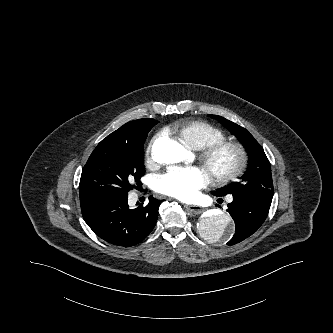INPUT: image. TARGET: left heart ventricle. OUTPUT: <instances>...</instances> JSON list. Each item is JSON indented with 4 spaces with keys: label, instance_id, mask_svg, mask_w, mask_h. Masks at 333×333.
<instances>
[{
    "label": "left heart ventricle",
    "instance_id": "obj_1",
    "mask_svg": "<svg viewBox=\"0 0 333 333\" xmlns=\"http://www.w3.org/2000/svg\"><path fill=\"white\" fill-rule=\"evenodd\" d=\"M232 160L233 154L231 152H223L214 160L213 166L216 168H223L229 165Z\"/></svg>",
    "mask_w": 333,
    "mask_h": 333
}]
</instances>
